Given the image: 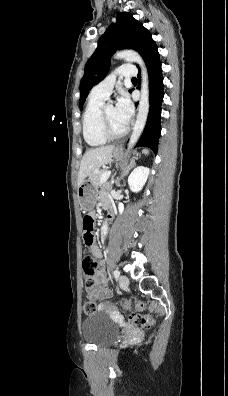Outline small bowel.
<instances>
[{
  "instance_id": "c3829d8e",
  "label": "small bowel",
  "mask_w": 228,
  "mask_h": 396,
  "mask_svg": "<svg viewBox=\"0 0 228 396\" xmlns=\"http://www.w3.org/2000/svg\"><path fill=\"white\" fill-rule=\"evenodd\" d=\"M100 201H101V205L103 204L109 205V199L105 195L101 196ZM90 249L94 257H96L97 259H100L102 257V252L95 243L91 245ZM105 283H106L105 274L104 271L101 269L98 275L96 276L95 284L92 287H86V290L89 295H91L96 299H100V300L106 299L109 296V292L102 288V285H104ZM107 307H108L107 303H102L100 305L101 309H106Z\"/></svg>"
}]
</instances>
